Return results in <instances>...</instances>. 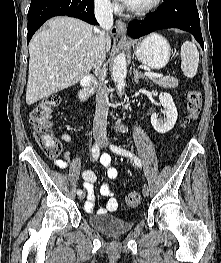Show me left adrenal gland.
<instances>
[{
  "mask_svg": "<svg viewBox=\"0 0 221 263\" xmlns=\"http://www.w3.org/2000/svg\"><path fill=\"white\" fill-rule=\"evenodd\" d=\"M133 74L136 83H138L139 79H146V76L139 72L137 69H134Z\"/></svg>",
  "mask_w": 221,
  "mask_h": 263,
  "instance_id": "obj_1",
  "label": "left adrenal gland"
}]
</instances>
